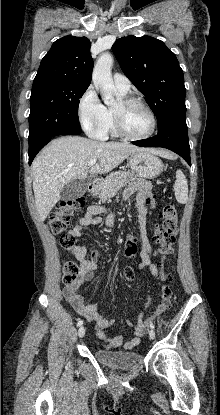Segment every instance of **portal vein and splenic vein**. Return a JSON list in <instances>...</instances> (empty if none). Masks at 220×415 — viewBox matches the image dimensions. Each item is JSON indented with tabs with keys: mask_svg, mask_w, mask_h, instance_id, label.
<instances>
[{
	"mask_svg": "<svg viewBox=\"0 0 220 415\" xmlns=\"http://www.w3.org/2000/svg\"><path fill=\"white\" fill-rule=\"evenodd\" d=\"M96 161H97L96 159L90 160L88 163V166L89 167L94 166L96 164Z\"/></svg>",
	"mask_w": 220,
	"mask_h": 415,
	"instance_id": "portal-vein-and-splenic-vein-1",
	"label": "portal vein and splenic vein"
}]
</instances>
